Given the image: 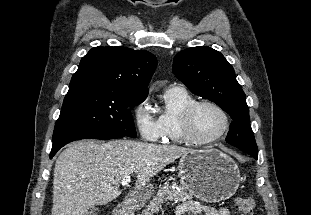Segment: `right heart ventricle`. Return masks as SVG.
I'll list each match as a JSON object with an SVG mask.
<instances>
[{
  "label": "right heart ventricle",
  "mask_w": 311,
  "mask_h": 215,
  "mask_svg": "<svg viewBox=\"0 0 311 215\" xmlns=\"http://www.w3.org/2000/svg\"><path fill=\"white\" fill-rule=\"evenodd\" d=\"M165 109L159 119L163 128V142L187 143L183 137L180 116L182 111L195 100L185 89L169 88L165 95Z\"/></svg>",
  "instance_id": "e07e8e85"
}]
</instances>
